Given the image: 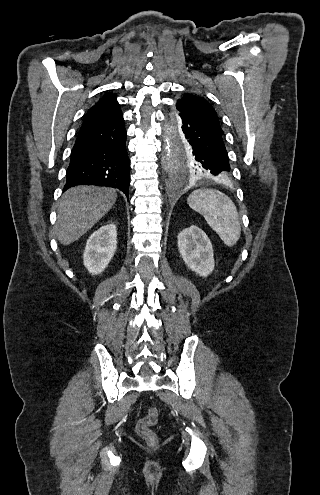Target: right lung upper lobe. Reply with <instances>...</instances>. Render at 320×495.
Masks as SVG:
<instances>
[{
	"label": "right lung upper lobe",
	"mask_w": 320,
	"mask_h": 495,
	"mask_svg": "<svg viewBox=\"0 0 320 495\" xmlns=\"http://www.w3.org/2000/svg\"><path fill=\"white\" fill-rule=\"evenodd\" d=\"M123 120L117 95L105 93L85 114L80 130Z\"/></svg>",
	"instance_id": "1"
}]
</instances>
